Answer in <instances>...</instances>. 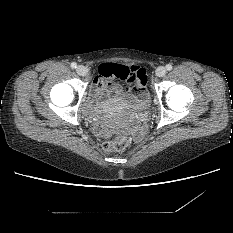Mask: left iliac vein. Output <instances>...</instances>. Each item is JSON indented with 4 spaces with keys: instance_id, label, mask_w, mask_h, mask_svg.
Listing matches in <instances>:
<instances>
[{
    "instance_id": "1",
    "label": "left iliac vein",
    "mask_w": 233,
    "mask_h": 233,
    "mask_svg": "<svg viewBox=\"0 0 233 233\" xmlns=\"http://www.w3.org/2000/svg\"><path fill=\"white\" fill-rule=\"evenodd\" d=\"M165 74H166V68H165V67L159 66V67L156 69V75H157L158 77H163Z\"/></svg>"
}]
</instances>
